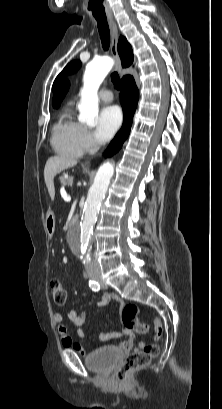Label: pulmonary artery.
<instances>
[{"label":"pulmonary artery","instance_id":"obj_1","mask_svg":"<svg viewBox=\"0 0 222 409\" xmlns=\"http://www.w3.org/2000/svg\"><path fill=\"white\" fill-rule=\"evenodd\" d=\"M99 98L104 102H111L113 100V95L110 90L102 89L99 92Z\"/></svg>","mask_w":222,"mask_h":409}]
</instances>
